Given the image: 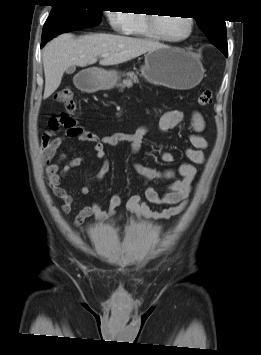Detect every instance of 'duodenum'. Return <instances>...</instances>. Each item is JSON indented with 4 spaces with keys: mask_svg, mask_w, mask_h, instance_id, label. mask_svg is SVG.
I'll list each match as a JSON object with an SVG mask.
<instances>
[{
    "mask_svg": "<svg viewBox=\"0 0 261 355\" xmlns=\"http://www.w3.org/2000/svg\"><path fill=\"white\" fill-rule=\"evenodd\" d=\"M79 87L82 88V89H87V88H90L92 87L89 83H87L86 81H82L79 83Z\"/></svg>",
    "mask_w": 261,
    "mask_h": 355,
    "instance_id": "duodenum-1",
    "label": "duodenum"
}]
</instances>
